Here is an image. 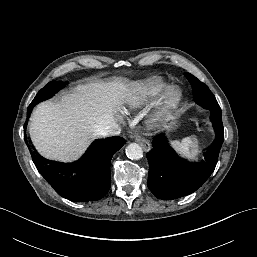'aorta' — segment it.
I'll return each instance as SVG.
<instances>
[{
	"label": "aorta",
	"mask_w": 257,
	"mask_h": 257,
	"mask_svg": "<svg viewBox=\"0 0 257 257\" xmlns=\"http://www.w3.org/2000/svg\"><path fill=\"white\" fill-rule=\"evenodd\" d=\"M126 156L131 160H139L143 157V150L140 145L131 143L126 147Z\"/></svg>",
	"instance_id": "obj_1"
}]
</instances>
